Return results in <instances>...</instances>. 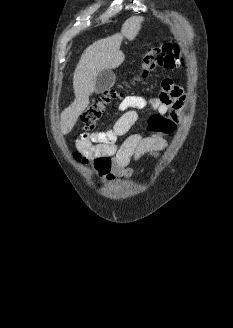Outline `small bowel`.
Here are the masks:
<instances>
[{
  "mask_svg": "<svg viewBox=\"0 0 233 328\" xmlns=\"http://www.w3.org/2000/svg\"><path fill=\"white\" fill-rule=\"evenodd\" d=\"M186 94L182 87L171 79H164L159 95L146 99L141 96H127L118 106L121 113L111 128L106 131L83 133L76 141L79 151L89 155H104L110 158L112 170L107 179L112 182L118 178H129L135 173L131 164L144 155L157 156L167 147L161 136L145 137L140 133L128 135L121 143L120 138L126 136L138 119V110L151 107L160 114L167 115L177 121L186 102Z\"/></svg>",
  "mask_w": 233,
  "mask_h": 328,
  "instance_id": "small-bowel-1",
  "label": "small bowel"
}]
</instances>
